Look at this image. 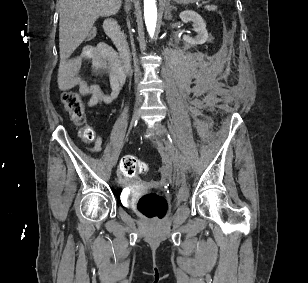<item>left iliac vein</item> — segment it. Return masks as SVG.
Returning <instances> with one entry per match:
<instances>
[{
	"label": "left iliac vein",
	"instance_id": "left-iliac-vein-1",
	"mask_svg": "<svg viewBox=\"0 0 308 283\" xmlns=\"http://www.w3.org/2000/svg\"><path fill=\"white\" fill-rule=\"evenodd\" d=\"M155 128L158 131V133L163 137V141L168 143L169 141L167 139V134H168L167 128L161 123H156ZM176 158L179 169L181 171H187L189 169V166L185 157L180 153H176Z\"/></svg>",
	"mask_w": 308,
	"mask_h": 283
}]
</instances>
